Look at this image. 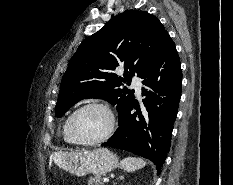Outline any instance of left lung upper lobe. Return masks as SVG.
<instances>
[{
  "instance_id": "1",
  "label": "left lung upper lobe",
  "mask_w": 233,
  "mask_h": 185,
  "mask_svg": "<svg viewBox=\"0 0 233 185\" xmlns=\"http://www.w3.org/2000/svg\"><path fill=\"white\" fill-rule=\"evenodd\" d=\"M169 37L162 23L146 11L126 10L86 38L69 61L61 81L55 115L61 117L84 98H100L117 105L119 120L134 94L123 83L139 77ZM124 66V77L114 73Z\"/></svg>"
}]
</instances>
